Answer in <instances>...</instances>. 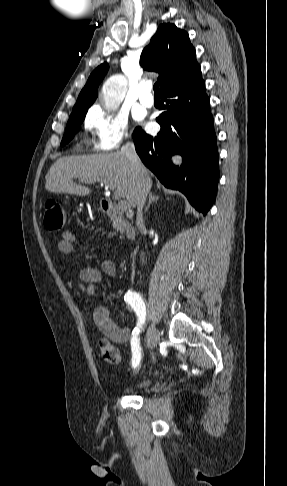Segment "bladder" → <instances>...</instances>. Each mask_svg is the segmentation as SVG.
Here are the masks:
<instances>
[{
	"label": "bladder",
	"mask_w": 287,
	"mask_h": 486,
	"mask_svg": "<svg viewBox=\"0 0 287 486\" xmlns=\"http://www.w3.org/2000/svg\"><path fill=\"white\" fill-rule=\"evenodd\" d=\"M150 384H151V380L150 379H143V380H140L139 382H137L134 385V388L135 389H138V390H142V389H146L147 387H149Z\"/></svg>",
	"instance_id": "bladder-1"
}]
</instances>
